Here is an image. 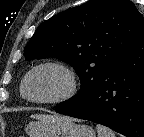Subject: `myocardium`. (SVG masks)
Returning <instances> with one entry per match:
<instances>
[{
	"label": "myocardium",
	"instance_id": "f54148a6",
	"mask_svg": "<svg viewBox=\"0 0 144 137\" xmlns=\"http://www.w3.org/2000/svg\"><path fill=\"white\" fill-rule=\"evenodd\" d=\"M43 69H54L59 71L64 75L67 81L66 89L58 96L53 98H33L26 94V87L29 79L38 71ZM78 88V80L75 72L66 64L58 62V61H46L39 63L32 67L24 76L21 87H20V93L22 97L32 103L37 104H59L63 103L65 101H68L71 99L77 91Z\"/></svg>",
	"mask_w": 144,
	"mask_h": 137
}]
</instances>
